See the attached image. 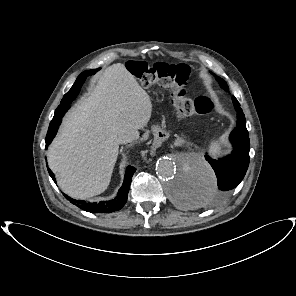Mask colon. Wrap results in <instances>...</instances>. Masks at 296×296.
Instances as JSON below:
<instances>
[{
  "instance_id": "5ec220e1",
  "label": "colon",
  "mask_w": 296,
  "mask_h": 296,
  "mask_svg": "<svg viewBox=\"0 0 296 296\" xmlns=\"http://www.w3.org/2000/svg\"><path fill=\"white\" fill-rule=\"evenodd\" d=\"M128 70L144 86L159 85L172 91L173 103L180 117L206 115L213 109L212 101L204 96L191 98L187 95L190 70L184 64H149L144 61H129Z\"/></svg>"
}]
</instances>
